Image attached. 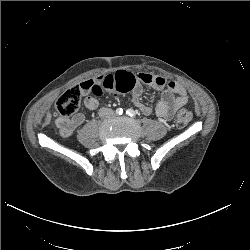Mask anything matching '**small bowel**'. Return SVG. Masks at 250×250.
I'll use <instances>...</instances> for the list:
<instances>
[{
    "instance_id": "c3829d8e",
    "label": "small bowel",
    "mask_w": 250,
    "mask_h": 250,
    "mask_svg": "<svg viewBox=\"0 0 250 250\" xmlns=\"http://www.w3.org/2000/svg\"><path fill=\"white\" fill-rule=\"evenodd\" d=\"M99 85L104 91L117 94L132 93V99L137 108L145 115L152 113V109L141 101L143 85H148L161 91V98L155 106V115L163 120H170L176 110L188 102L186 91L177 83L168 81L163 77L147 74L119 71L85 80L80 84L84 97V105L89 110L99 106L98 100L90 95L91 87ZM85 121L82 113H77L71 118H57L55 125L62 137H69Z\"/></svg>"
}]
</instances>
